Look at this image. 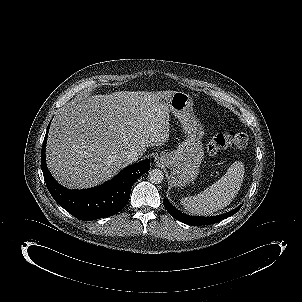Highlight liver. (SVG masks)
Here are the masks:
<instances>
[{
    "instance_id": "6515ba94",
    "label": "liver",
    "mask_w": 302,
    "mask_h": 302,
    "mask_svg": "<svg viewBox=\"0 0 302 302\" xmlns=\"http://www.w3.org/2000/svg\"><path fill=\"white\" fill-rule=\"evenodd\" d=\"M175 91H118L85 96L54 117L46 160L54 178L68 188H90L116 175L127 152L169 140V102Z\"/></svg>"
}]
</instances>
